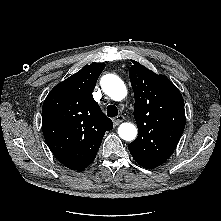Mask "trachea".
<instances>
[{
	"mask_svg": "<svg viewBox=\"0 0 221 221\" xmlns=\"http://www.w3.org/2000/svg\"><path fill=\"white\" fill-rule=\"evenodd\" d=\"M118 115V109L115 105H109L107 107V116L116 117Z\"/></svg>",
	"mask_w": 221,
	"mask_h": 221,
	"instance_id": "obj_1",
	"label": "trachea"
}]
</instances>
